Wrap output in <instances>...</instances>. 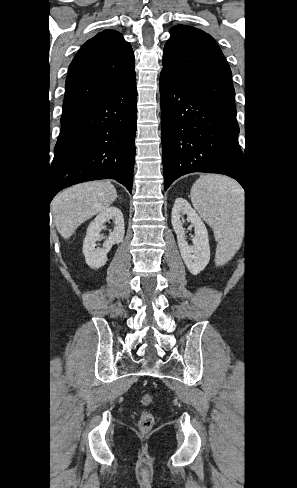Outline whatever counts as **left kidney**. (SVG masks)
<instances>
[{"mask_svg":"<svg viewBox=\"0 0 297 488\" xmlns=\"http://www.w3.org/2000/svg\"><path fill=\"white\" fill-rule=\"evenodd\" d=\"M187 215L194 227L193 245L189 246L185 237V229L181 223L182 215ZM171 222L177 235V242L182 259L188 270L196 275L207 266L210 260L209 237L205 224L200 216L184 198H177L172 208Z\"/></svg>","mask_w":297,"mask_h":488,"instance_id":"1","label":"left kidney"}]
</instances>
